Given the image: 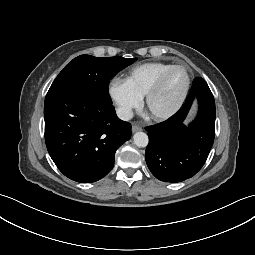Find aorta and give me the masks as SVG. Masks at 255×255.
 I'll use <instances>...</instances> for the list:
<instances>
[{
    "label": "aorta",
    "mask_w": 255,
    "mask_h": 255,
    "mask_svg": "<svg viewBox=\"0 0 255 255\" xmlns=\"http://www.w3.org/2000/svg\"><path fill=\"white\" fill-rule=\"evenodd\" d=\"M133 140L136 146L146 147L149 142L148 135L144 132H137L133 136Z\"/></svg>",
    "instance_id": "762f6f07"
}]
</instances>
